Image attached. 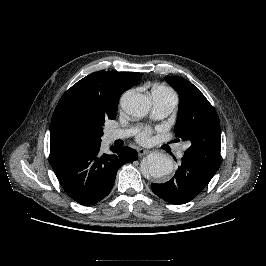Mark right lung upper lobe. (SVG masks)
<instances>
[{
	"label": "right lung upper lobe",
	"instance_id": "obj_1",
	"mask_svg": "<svg viewBox=\"0 0 266 266\" xmlns=\"http://www.w3.org/2000/svg\"><path fill=\"white\" fill-rule=\"evenodd\" d=\"M141 77L139 72L99 71L74 84L54 110L50 146L76 143L73 125L77 120L93 121L100 116H116L120 96Z\"/></svg>",
	"mask_w": 266,
	"mask_h": 266
}]
</instances>
